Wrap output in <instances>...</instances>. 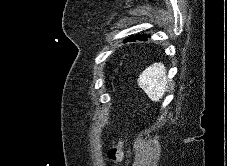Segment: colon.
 <instances>
[{
	"label": "colon",
	"instance_id": "obj_1",
	"mask_svg": "<svg viewBox=\"0 0 227 166\" xmlns=\"http://www.w3.org/2000/svg\"><path fill=\"white\" fill-rule=\"evenodd\" d=\"M107 156L114 163L121 161L123 156L122 147L119 144L112 145L107 152Z\"/></svg>",
	"mask_w": 227,
	"mask_h": 166
}]
</instances>
